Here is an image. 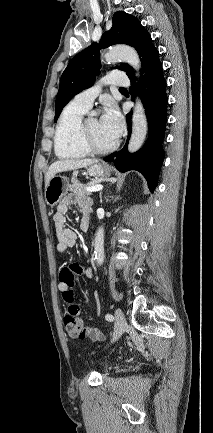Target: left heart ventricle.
<instances>
[{
    "label": "left heart ventricle",
    "mask_w": 213,
    "mask_h": 433,
    "mask_svg": "<svg viewBox=\"0 0 213 433\" xmlns=\"http://www.w3.org/2000/svg\"><path fill=\"white\" fill-rule=\"evenodd\" d=\"M87 127L90 137L95 145L101 148L112 145L116 140L103 128L100 120L97 118H89L87 121Z\"/></svg>",
    "instance_id": "obj_1"
}]
</instances>
